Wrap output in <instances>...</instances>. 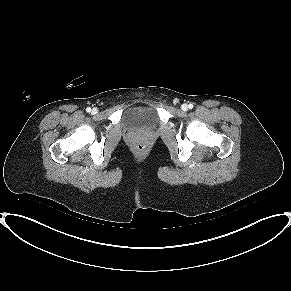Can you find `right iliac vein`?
Returning a JSON list of instances; mask_svg holds the SVG:
<instances>
[{
  "instance_id": "1",
  "label": "right iliac vein",
  "mask_w": 291,
  "mask_h": 291,
  "mask_svg": "<svg viewBox=\"0 0 291 291\" xmlns=\"http://www.w3.org/2000/svg\"><path fill=\"white\" fill-rule=\"evenodd\" d=\"M96 113H97V109L94 108V109L92 110V114H96Z\"/></svg>"
}]
</instances>
